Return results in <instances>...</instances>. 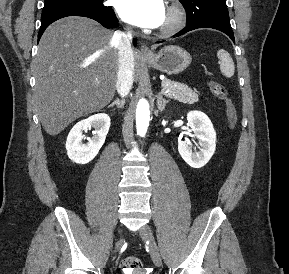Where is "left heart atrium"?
Segmentation results:
<instances>
[{"mask_svg": "<svg viewBox=\"0 0 289 274\" xmlns=\"http://www.w3.org/2000/svg\"><path fill=\"white\" fill-rule=\"evenodd\" d=\"M116 7L124 21L144 28L159 27L166 14L163 0H117Z\"/></svg>", "mask_w": 289, "mask_h": 274, "instance_id": "left-heart-atrium-1", "label": "left heart atrium"}]
</instances>
